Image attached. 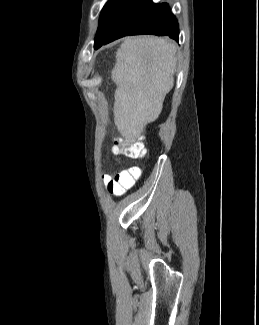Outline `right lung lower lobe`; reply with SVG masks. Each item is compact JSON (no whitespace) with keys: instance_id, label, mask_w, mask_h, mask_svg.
<instances>
[{"instance_id":"98d812e1","label":"right lung lower lobe","mask_w":259,"mask_h":325,"mask_svg":"<svg viewBox=\"0 0 259 325\" xmlns=\"http://www.w3.org/2000/svg\"><path fill=\"white\" fill-rule=\"evenodd\" d=\"M137 34L167 35L178 40V22L169 5L154 4L152 0H134L110 35L94 48L98 49L123 36Z\"/></svg>"}]
</instances>
